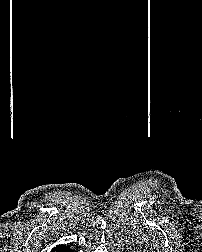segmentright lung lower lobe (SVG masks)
I'll use <instances>...</instances> for the list:
<instances>
[{
	"instance_id": "right-lung-lower-lobe-1",
	"label": "right lung lower lobe",
	"mask_w": 202,
	"mask_h": 252,
	"mask_svg": "<svg viewBox=\"0 0 202 252\" xmlns=\"http://www.w3.org/2000/svg\"><path fill=\"white\" fill-rule=\"evenodd\" d=\"M61 249H63V252H73V250L72 249H70V247L69 246H63ZM60 252V250H57V252Z\"/></svg>"
}]
</instances>
